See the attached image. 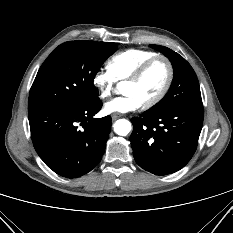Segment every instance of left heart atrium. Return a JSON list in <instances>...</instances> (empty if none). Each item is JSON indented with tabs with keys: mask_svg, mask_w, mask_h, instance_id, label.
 <instances>
[{
	"mask_svg": "<svg viewBox=\"0 0 233 233\" xmlns=\"http://www.w3.org/2000/svg\"><path fill=\"white\" fill-rule=\"evenodd\" d=\"M142 104L136 95L127 93L111 99L104 108L107 113H127L139 109Z\"/></svg>",
	"mask_w": 233,
	"mask_h": 233,
	"instance_id": "left-heart-atrium-1",
	"label": "left heart atrium"
}]
</instances>
